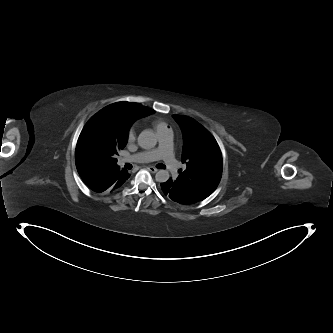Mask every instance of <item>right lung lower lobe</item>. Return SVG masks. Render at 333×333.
Instances as JSON below:
<instances>
[{"mask_svg":"<svg viewBox=\"0 0 333 333\" xmlns=\"http://www.w3.org/2000/svg\"><path fill=\"white\" fill-rule=\"evenodd\" d=\"M85 184L94 192L109 193L119 189L130 177L127 170L116 166L101 173L99 171L83 170L78 171Z\"/></svg>","mask_w":333,"mask_h":333,"instance_id":"obj_1","label":"right lung lower lobe"}]
</instances>
